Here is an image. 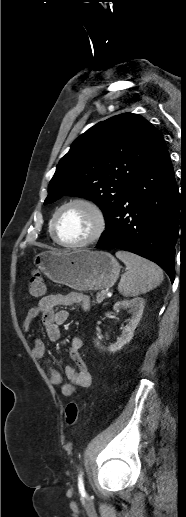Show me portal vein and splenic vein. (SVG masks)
Instances as JSON below:
<instances>
[{"label": "portal vein and splenic vein", "instance_id": "18ae733b", "mask_svg": "<svg viewBox=\"0 0 186 517\" xmlns=\"http://www.w3.org/2000/svg\"><path fill=\"white\" fill-rule=\"evenodd\" d=\"M102 292L108 296H111V293H109L108 291L103 290Z\"/></svg>", "mask_w": 186, "mask_h": 517}]
</instances>
